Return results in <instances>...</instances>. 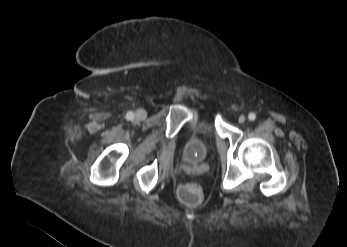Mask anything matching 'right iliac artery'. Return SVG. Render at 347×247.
<instances>
[{
	"label": "right iliac artery",
	"mask_w": 347,
	"mask_h": 247,
	"mask_svg": "<svg viewBox=\"0 0 347 247\" xmlns=\"http://www.w3.org/2000/svg\"><path fill=\"white\" fill-rule=\"evenodd\" d=\"M134 117V113L132 111L127 112L126 118L127 119H132Z\"/></svg>",
	"instance_id": "obj_1"
}]
</instances>
